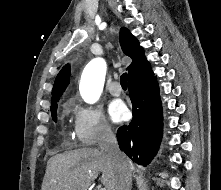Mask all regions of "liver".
I'll list each match as a JSON object with an SVG mask.
<instances>
[{"label":"liver","mask_w":221,"mask_h":190,"mask_svg":"<svg viewBox=\"0 0 221 190\" xmlns=\"http://www.w3.org/2000/svg\"><path fill=\"white\" fill-rule=\"evenodd\" d=\"M130 169L133 171L132 162ZM89 171L92 175H89ZM102 172L101 183L115 190L119 174L108 157L96 148H81L51 157L47 162L41 190H88Z\"/></svg>","instance_id":"liver-1"}]
</instances>
